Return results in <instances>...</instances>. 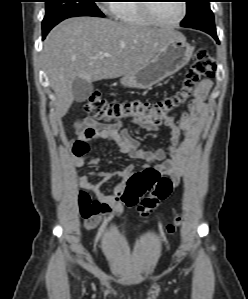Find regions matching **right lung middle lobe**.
I'll list each match as a JSON object with an SVG mask.
<instances>
[{
    "mask_svg": "<svg viewBox=\"0 0 248 299\" xmlns=\"http://www.w3.org/2000/svg\"><path fill=\"white\" fill-rule=\"evenodd\" d=\"M46 13L42 23L43 35L62 20L74 16H98L104 14L98 9L95 0H46Z\"/></svg>",
    "mask_w": 248,
    "mask_h": 299,
    "instance_id": "dd1d6c3e",
    "label": "right lung middle lobe"
}]
</instances>
